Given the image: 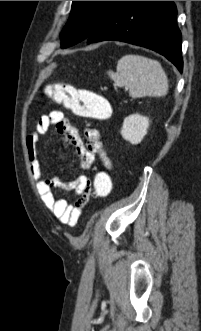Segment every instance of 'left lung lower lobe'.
<instances>
[{
	"instance_id": "left-lung-lower-lobe-1",
	"label": "left lung lower lobe",
	"mask_w": 201,
	"mask_h": 331,
	"mask_svg": "<svg viewBox=\"0 0 201 331\" xmlns=\"http://www.w3.org/2000/svg\"><path fill=\"white\" fill-rule=\"evenodd\" d=\"M173 1H120L87 43L122 41L149 48L183 70L181 32Z\"/></svg>"
}]
</instances>
